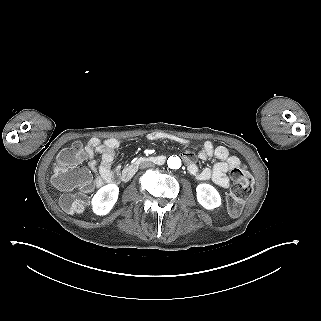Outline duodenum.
Listing matches in <instances>:
<instances>
[{"mask_svg": "<svg viewBox=\"0 0 321 321\" xmlns=\"http://www.w3.org/2000/svg\"><path fill=\"white\" fill-rule=\"evenodd\" d=\"M153 163L157 165H162L165 162V157L161 155H156V156H142L134 161H132L128 166L124 168V170L121 173V179L123 181H128L130 180L133 175L136 173L138 170L139 166L142 163Z\"/></svg>", "mask_w": 321, "mask_h": 321, "instance_id": "1", "label": "duodenum"}]
</instances>
